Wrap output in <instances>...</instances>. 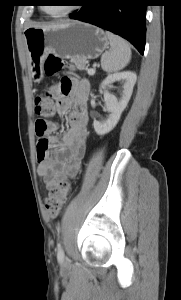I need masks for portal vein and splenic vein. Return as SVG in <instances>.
I'll use <instances>...</instances> for the list:
<instances>
[{"label": "portal vein and splenic vein", "instance_id": "1", "mask_svg": "<svg viewBox=\"0 0 181 300\" xmlns=\"http://www.w3.org/2000/svg\"><path fill=\"white\" fill-rule=\"evenodd\" d=\"M95 74V69H88V75L93 76Z\"/></svg>", "mask_w": 181, "mask_h": 300}]
</instances>
